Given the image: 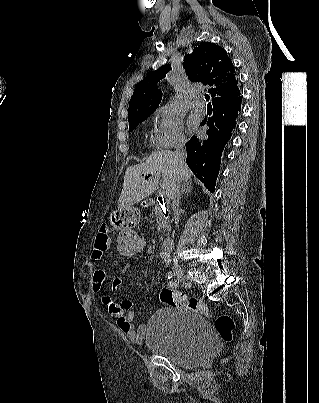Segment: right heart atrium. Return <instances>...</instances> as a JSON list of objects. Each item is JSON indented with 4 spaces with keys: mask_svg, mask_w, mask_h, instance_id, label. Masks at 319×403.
<instances>
[{
    "mask_svg": "<svg viewBox=\"0 0 319 403\" xmlns=\"http://www.w3.org/2000/svg\"><path fill=\"white\" fill-rule=\"evenodd\" d=\"M154 132L152 146L156 149H171L184 145L186 137L182 117L169 106L157 108L153 115Z\"/></svg>",
    "mask_w": 319,
    "mask_h": 403,
    "instance_id": "d8ad5b80",
    "label": "right heart atrium"
}]
</instances>
